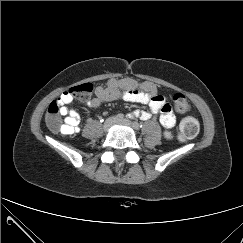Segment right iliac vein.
<instances>
[{
    "mask_svg": "<svg viewBox=\"0 0 243 243\" xmlns=\"http://www.w3.org/2000/svg\"><path fill=\"white\" fill-rule=\"evenodd\" d=\"M115 123H116L115 117L108 118L103 125L104 131H108Z\"/></svg>",
    "mask_w": 243,
    "mask_h": 243,
    "instance_id": "63e3f726",
    "label": "right iliac vein"
}]
</instances>
